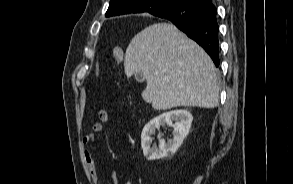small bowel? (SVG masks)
<instances>
[{"label":"small bowel","instance_id":"c3829d8e","mask_svg":"<svg viewBox=\"0 0 293 184\" xmlns=\"http://www.w3.org/2000/svg\"><path fill=\"white\" fill-rule=\"evenodd\" d=\"M109 120V113L107 110H100L98 112V121L91 123L90 130L83 137V144L86 146L91 145L96 138V135L102 130L103 123ZM85 160L87 164L88 171L90 173L91 179L95 184H99V174L96 168V164L93 155L89 149L85 151ZM109 177L112 184H118V177L114 170L109 172ZM125 184H134L132 181H128Z\"/></svg>","mask_w":293,"mask_h":184}]
</instances>
